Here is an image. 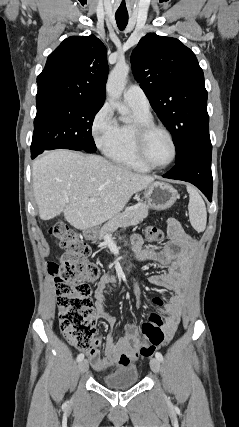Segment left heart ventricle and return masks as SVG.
Returning a JSON list of instances; mask_svg holds the SVG:
<instances>
[{"instance_id": "b2bd125f", "label": "left heart ventricle", "mask_w": 239, "mask_h": 427, "mask_svg": "<svg viewBox=\"0 0 239 427\" xmlns=\"http://www.w3.org/2000/svg\"><path fill=\"white\" fill-rule=\"evenodd\" d=\"M146 155L155 165H163L172 157V145L162 132H154L147 143Z\"/></svg>"}]
</instances>
